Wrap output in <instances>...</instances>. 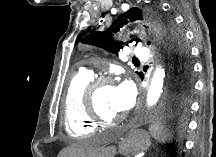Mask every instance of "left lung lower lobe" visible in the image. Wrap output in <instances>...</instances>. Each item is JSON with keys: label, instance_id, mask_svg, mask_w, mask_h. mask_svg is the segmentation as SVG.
Listing matches in <instances>:
<instances>
[{"label": "left lung lower lobe", "instance_id": "obj_1", "mask_svg": "<svg viewBox=\"0 0 216 157\" xmlns=\"http://www.w3.org/2000/svg\"><path fill=\"white\" fill-rule=\"evenodd\" d=\"M143 78V77H141ZM193 89V81L181 84L175 77L170 80L165 108L160 118L172 123L174 130L180 132L184 128V115L189 106V96Z\"/></svg>", "mask_w": 216, "mask_h": 157}]
</instances>
